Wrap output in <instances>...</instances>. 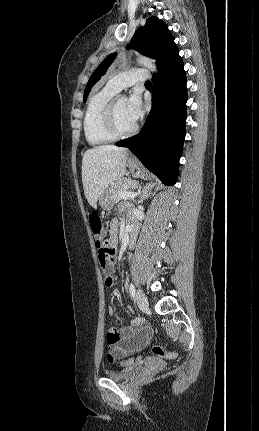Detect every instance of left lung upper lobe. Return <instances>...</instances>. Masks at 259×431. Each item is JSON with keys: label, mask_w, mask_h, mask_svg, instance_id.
Here are the masks:
<instances>
[{"label": "left lung upper lobe", "mask_w": 259, "mask_h": 431, "mask_svg": "<svg viewBox=\"0 0 259 431\" xmlns=\"http://www.w3.org/2000/svg\"><path fill=\"white\" fill-rule=\"evenodd\" d=\"M174 42V37L168 30L167 25L157 17H151L143 27H140L134 34L130 48L156 60L158 66L165 50ZM116 54L109 55L91 75L85 91L83 102L86 101L92 86L100 80L106 73L107 68L112 64Z\"/></svg>", "instance_id": "obj_1"}]
</instances>
